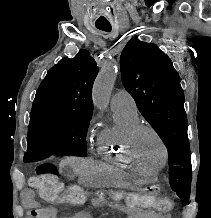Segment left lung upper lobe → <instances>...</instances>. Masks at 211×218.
Listing matches in <instances>:
<instances>
[{
    "instance_id": "5c2ea615",
    "label": "left lung upper lobe",
    "mask_w": 211,
    "mask_h": 218,
    "mask_svg": "<svg viewBox=\"0 0 211 218\" xmlns=\"http://www.w3.org/2000/svg\"><path fill=\"white\" fill-rule=\"evenodd\" d=\"M120 64L125 89L167 147L171 188L188 201L192 166L179 75L164 52L136 37L123 49Z\"/></svg>"
}]
</instances>
